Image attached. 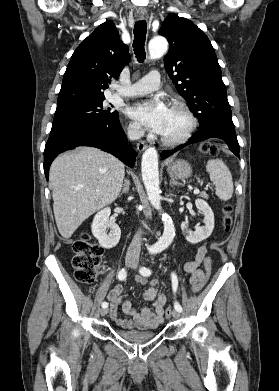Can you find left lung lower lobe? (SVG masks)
Wrapping results in <instances>:
<instances>
[{
    "label": "left lung lower lobe",
    "mask_w": 279,
    "mask_h": 391,
    "mask_svg": "<svg viewBox=\"0 0 279 391\" xmlns=\"http://www.w3.org/2000/svg\"><path fill=\"white\" fill-rule=\"evenodd\" d=\"M208 138H221L223 139L229 146L230 150L238 157L239 156V144L237 141V137L235 134V129H230L221 125L216 124H210L202 129L200 131L194 133L192 137L183 145H180L176 148H174L171 151H164L161 154V157L165 159L169 155L173 154L174 152L178 151L179 149L199 141L206 140Z\"/></svg>",
    "instance_id": "0a47b994"
}]
</instances>
